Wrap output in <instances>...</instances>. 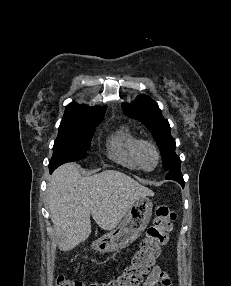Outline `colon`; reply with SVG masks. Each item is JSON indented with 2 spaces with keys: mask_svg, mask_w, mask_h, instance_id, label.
Returning <instances> with one entry per match:
<instances>
[{
  "mask_svg": "<svg viewBox=\"0 0 231 286\" xmlns=\"http://www.w3.org/2000/svg\"><path fill=\"white\" fill-rule=\"evenodd\" d=\"M177 218L174 210L166 205L157 207L152 225L148 228L145 238L135 252L130 263L117 277L105 282L85 283L58 276L56 286H139L144 276L151 270L160 255L161 247L166 244L173 223Z\"/></svg>",
  "mask_w": 231,
  "mask_h": 286,
  "instance_id": "colon-1",
  "label": "colon"
}]
</instances>
